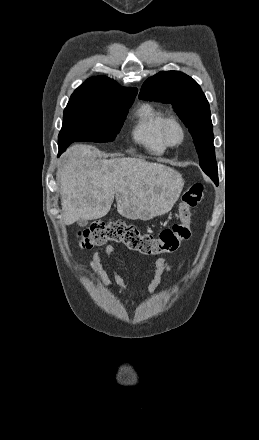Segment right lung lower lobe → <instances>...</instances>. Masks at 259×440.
Returning a JSON list of instances; mask_svg holds the SVG:
<instances>
[{
	"instance_id": "obj_1",
	"label": "right lung lower lobe",
	"mask_w": 259,
	"mask_h": 440,
	"mask_svg": "<svg viewBox=\"0 0 259 440\" xmlns=\"http://www.w3.org/2000/svg\"><path fill=\"white\" fill-rule=\"evenodd\" d=\"M64 150H65L64 148L59 147V155H60ZM59 155H58V156H59Z\"/></svg>"
}]
</instances>
